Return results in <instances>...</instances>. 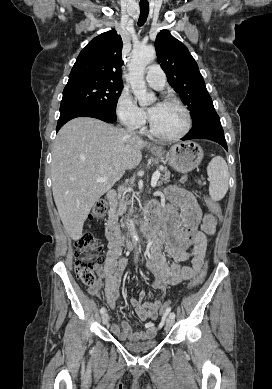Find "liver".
Wrapping results in <instances>:
<instances>
[{
	"instance_id": "1",
	"label": "liver",
	"mask_w": 272,
	"mask_h": 389,
	"mask_svg": "<svg viewBox=\"0 0 272 389\" xmlns=\"http://www.w3.org/2000/svg\"><path fill=\"white\" fill-rule=\"evenodd\" d=\"M147 145L137 136L101 120L79 117L66 123L53 144L52 191L60 219L73 240L94 203L125 170L135 168ZM105 178V182H97Z\"/></svg>"
}]
</instances>
